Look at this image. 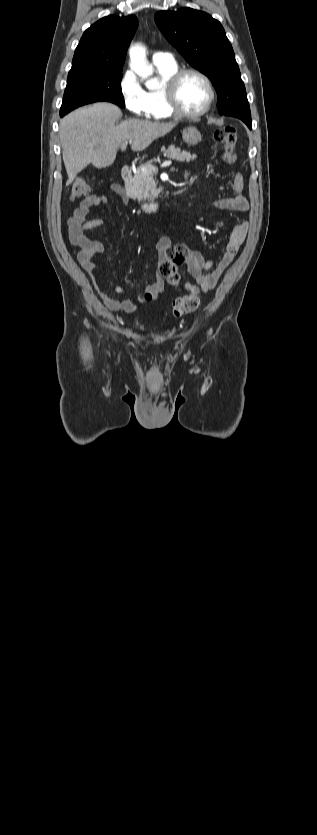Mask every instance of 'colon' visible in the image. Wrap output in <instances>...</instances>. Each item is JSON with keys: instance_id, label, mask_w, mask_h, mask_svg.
I'll list each match as a JSON object with an SVG mask.
<instances>
[{"instance_id": "5ec220e1", "label": "colon", "mask_w": 317, "mask_h": 835, "mask_svg": "<svg viewBox=\"0 0 317 835\" xmlns=\"http://www.w3.org/2000/svg\"><path fill=\"white\" fill-rule=\"evenodd\" d=\"M214 137L224 148L225 153L230 154L233 152L236 144V130L234 127L225 126L218 128L214 132ZM88 192V184L82 179H77L71 186L70 198L71 200H76L86 196ZM190 252L192 251L187 248V254ZM180 265L181 260L175 259L173 261L161 262L157 269L170 285L178 286L181 284ZM186 288L188 289V293L176 298L172 304L171 312L176 317L193 312L200 306L201 300L198 288L189 284H186ZM143 297L146 301H151L153 299V293L146 291Z\"/></svg>"}]
</instances>
